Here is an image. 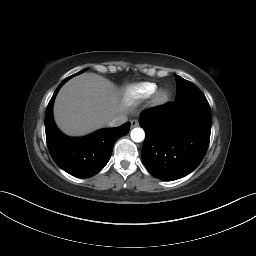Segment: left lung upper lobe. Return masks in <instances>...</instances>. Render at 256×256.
<instances>
[{"label":"left lung upper lobe","mask_w":256,"mask_h":256,"mask_svg":"<svg viewBox=\"0 0 256 256\" xmlns=\"http://www.w3.org/2000/svg\"><path fill=\"white\" fill-rule=\"evenodd\" d=\"M176 100L193 97L197 95H204L201 90L192 82L183 79L176 75Z\"/></svg>","instance_id":"obj_1"}]
</instances>
